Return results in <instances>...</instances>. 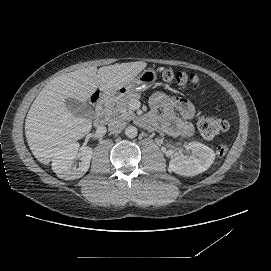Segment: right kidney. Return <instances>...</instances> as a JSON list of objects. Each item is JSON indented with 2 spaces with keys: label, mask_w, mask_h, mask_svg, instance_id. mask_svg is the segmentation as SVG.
Returning <instances> with one entry per match:
<instances>
[{
  "label": "right kidney",
  "mask_w": 271,
  "mask_h": 271,
  "mask_svg": "<svg viewBox=\"0 0 271 271\" xmlns=\"http://www.w3.org/2000/svg\"><path fill=\"white\" fill-rule=\"evenodd\" d=\"M79 148L78 142H71L55 152L51 159V166L58 177L72 180L82 177L86 173L90 165L92 149L87 147L78 153ZM76 157H79L78 161L75 159Z\"/></svg>",
  "instance_id": "1"
}]
</instances>
